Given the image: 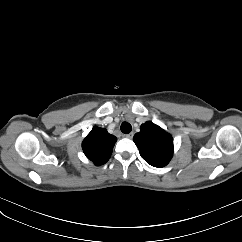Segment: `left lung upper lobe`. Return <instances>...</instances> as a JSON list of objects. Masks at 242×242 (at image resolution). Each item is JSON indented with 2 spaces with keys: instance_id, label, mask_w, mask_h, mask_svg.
<instances>
[{
  "instance_id": "left-lung-upper-lobe-1",
  "label": "left lung upper lobe",
  "mask_w": 242,
  "mask_h": 242,
  "mask_svg": "<svg viewBox=\"0 0 242 242\" xmlns=\"http://www.w3.org/2000/svg\"><path fill=\"white\" fill-rule=\"evenodd\" d=\"M141 157L154 167L166 166L173 156V139L162 128L147 121L134 135Z\"/></svg>"
}]
</instances>
